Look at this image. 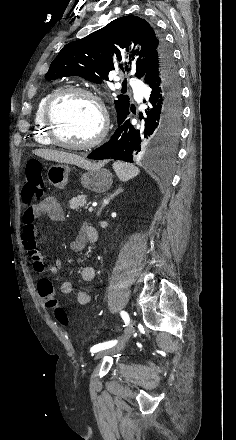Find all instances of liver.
<instances>
[{
  "label": "liver",
  "mask_w": 236,
  "mask_h": 440,
  "mask_svg": "<svg viewBox=\"0 0 236 440\" xmlns=\"http://www.w3.org/2000/svg\"><path fill=\"white\" fill-rule=\"evenodd\" d=\"M33 153L46 160H51L58 163L74 164L84 169L101 166V164H93L79 155L67 153L63 151H56L50 149H36L33 151Z\"/></svg>",
  "instance_id": "obj_1"
}]
</instances>
